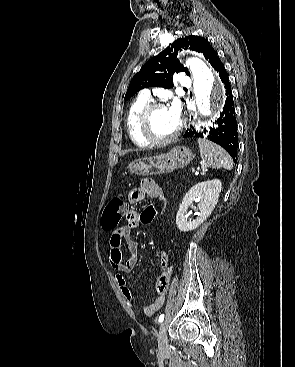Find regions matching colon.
Listing matches in <instances>:
<instances>
[{
	"label": "colon",
	"instance_id": "5ec220e1",
	"mask_svg": "<svg viewBox=\"0 0 295 367\" xmlns=\"http://www.w3.org/2000/svg\"><path fill=\"white\" fill-rule=\"evenodd\" d=\"M154 202H150L146 208V211L142 215V221L149 223L153 221L158 213L167 211V201L169 196L167 195H156L152 198ZM159 205V206H155ZM127 213V205L125 201L120 197L112 198L104 209L102 215V226L105 230L115 229L122 217Z\"/></svg>",
	"mask_w": 295,
	"mask_h": 367
}]
</instances>
